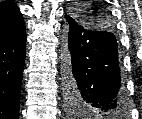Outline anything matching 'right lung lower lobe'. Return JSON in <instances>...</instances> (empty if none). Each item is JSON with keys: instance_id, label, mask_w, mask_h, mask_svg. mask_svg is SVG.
Instances as JSON below:
<instances>
[{"instance_id": "98d812e1", "label": "right lung lower lobe", "mask_w": 142, "mask_h": 119, "mask_svg": "<svg viewBox=\"0 0 142 119\" xmlns=\"http://www.w3.org/2000/svg\"><path fill=\"white\" fill-rule=\"evenodd\" d=\"M26 32L0 41V119H19Z\"/></svg>"}]
</instances>
